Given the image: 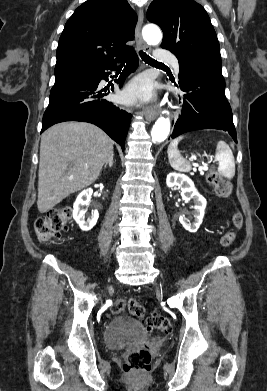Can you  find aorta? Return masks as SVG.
Instances as JSON below:
<instances>
[{
    "instance_id": "1",
    "label": "aorta",
    "mask_w": 267,
    "mask_h": 391,
    "mask_svg": "<svg viewBox=\"0 0 267 391\" xmlns=\"http://www.w3.org/2000/svg\"><path fill=\"white\" fill-rule=\"evenodd\" d=\"M142 35L149 45L155 46L161 43L162 33L156 25H146L142 30ZM169 132V118L159 117L151 130L152 141L163 142L168 137Z\"/></svg>"
}]
</instances>
